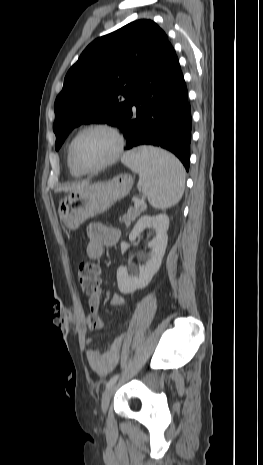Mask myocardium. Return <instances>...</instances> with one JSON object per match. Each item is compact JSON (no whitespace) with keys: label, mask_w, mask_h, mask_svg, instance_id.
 Returning <instances> with one entry per match:
<instances>
[{"label":"myocardium","mask_w":263,"mask_h":465,"mask_svg":"<svg viewBox=\"0 0 263 465\" xmlns=\"http://www.w3.org/2000/svg\"><path fill=\"white\" fill-rule=\"evenodd\" d=\"M91 130H104V131H107L114 138L116 146H115V151H114L113 155L108 160H106L105 162H103L102 164H100V165H98V166H96L94 168H84V167L80 166L77 163L76 159H75L74 147H75V144H76V141L78 140V138L82 134H84V133H86L88 131H91ZM124 144H125L124 137H123L121 131L116 126H114L112 124H109V123L96 122V123H91V124H88V125L84 126L83 128H81L74 135V137L72 138V140H71V142L69 144L68 155H69V159H70V162H71L72 166L79 173H81V174H94V173L101 172V171L105 170L106 168L110 167L111 165L115 164L119 160L120 156L123 153Z\"/></svg>","instance_id":"1"}]
</instances>
